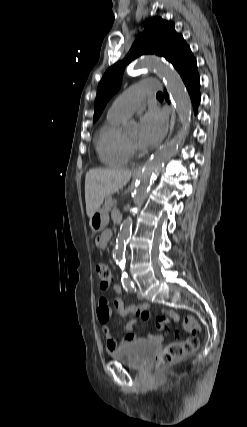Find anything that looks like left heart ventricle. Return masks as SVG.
<instances>
[{"instance_id":"left-heart-ventricle-1","label":"left heart ventricle","mask_w":247,"mask_h":427,"mask_svg":"<svg viewBox=\"0 0 247 427\" xmlns=\"http://www.w3.org/2000/svg\"><path fill=\"white\" fill-rule=\"evenodd\" d=\"M138 138H139L138 132L134 131L126 137V140L131 144L138 146Z\"/></svg>"}]
</instances>
